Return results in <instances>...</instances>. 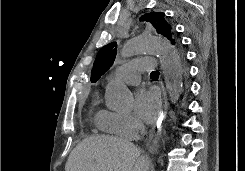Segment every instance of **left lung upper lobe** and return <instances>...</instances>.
<instances>
[{"label":"left lung upper lobe","instance_id":"obj_1","mask_svg":"<svg viewBox=\"0 0 245 171\" xmlns=\"http://www.w3.org/2000/svg\"><path fill=\"white\" fill-rule=\"evenodd\" d=\"M140 21L150 22L159 34L166 37L171 42V44L176 47L180 62H185L183 52L180 49L179 41L171 25L165 20L164 13L150 12L141 16ZM116 53V42L109 43L99 50L91 71L90 80L92 83L98 81L100 77L113 65Z\"/></svg>","mask_w":245,"mask_h":171}]
</instances>
